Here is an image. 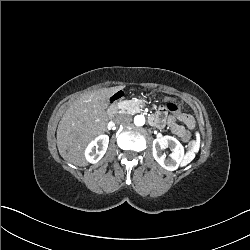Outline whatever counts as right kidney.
<instances>
[{
    "instance_id": "1",
    "label": "right kidney",
    "mask_w": 250,
    "mask_h": 250,
    "mask_svg": "<svg viewBox=\"0 0 250 250\" xmlns=\"http://www.w3.org/2000/svg\"><path fill=\"white\" fill-rule=\"evenodd\" d=\"M108 143L109 136L107 134L97 135L95 139L91 140L84 149L85 160L90 164L97 163L105 154Z\"/></svg>"
}]
</instances>
